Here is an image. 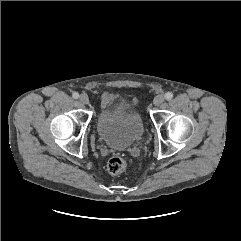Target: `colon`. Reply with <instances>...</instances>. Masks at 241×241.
<instances>
[{"label": "colon", "instance_id": "5ec220e1", "mask_svg": "<svg viewBox=\"0 0 241 241\" xmlns=\"http://www.w3.org/2000/svg\"><path fill=\"white\" fill-rule=\"evenodd\" d=\"M127 166L126 160L121 156H113L109 159L107 163V170L111 174L122 173Z\"/></svg>", "mask_w": 241, "mask_h": 241}]
</instances>
